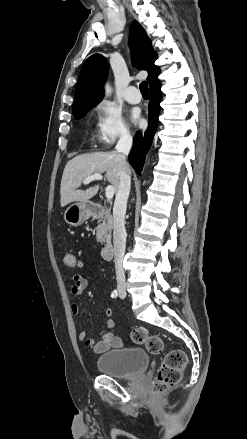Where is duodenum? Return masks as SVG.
I'll list each match as a JSON object with an SVG mask.
<instances>
[{
  "label": "duodenum",
  "mask_w": 247,
  "mask_h": 439,
  "mask_svg": "<svg viewBox=\"0 0 247 439\" xmlns=\"http://www.w3.org/2000/svg\"><path fill=\"white\" fill-rule=\"evenodd\" d=\"M103 210H104L103 207L99 204L92 203V204L87 206L88 213L93 217H99L103 213ZM113 251H114V248H113L112 243H106L101 248V256L104 259L109 260L113 256Z\"/></svg>",
  "instance_id": "1"
}]
</instances>
